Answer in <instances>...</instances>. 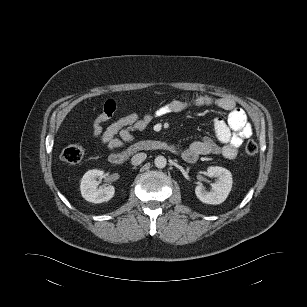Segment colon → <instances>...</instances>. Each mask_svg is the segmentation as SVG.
Instances as JSON below:
<instances>
[{"label":"colon","mask_w":307,"mask_h":307,"mask_svg":"<svg viewBox=\"0 0 307 307\" xmlns=\"http://www.w3.org/2000/svg\"><path fill=\"white\" fill-rule=\"evenodd\" d=\"M258 152V145L255 141L249 140L244 147V153L252 157ZM84 155V151L80 145L72 144L65 147L61 152V159L69 164L79 163Z\"/></svg>","instance_id":"5ec220e1"}]
</instances>
